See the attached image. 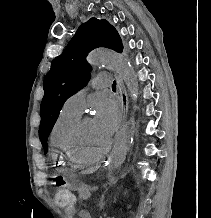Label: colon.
I'll return each mask as SVG.
<instances>
[{
    "label": "colon",
    "mask_w": 211,
    "mask_h": 218,
    "mask_svg": "<svg viewBox=\"0 0 211 218\" xmlns=\"http://www.w3.org/2000/svg\"><path fill=\"white\" fill-rule=\"evenodd\" d=\"M55 201L60 207H72L75 204V196L65 185H59L54 194Z\"/></svg>",
    "instance_id": "colon-1"
}]
</instances>
